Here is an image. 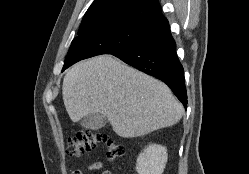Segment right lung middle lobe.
<instances>
[{
	"label": "right lung middle lobe",
	"instance_id": "dd1d6c3e",
	"mask_svg": "<svg viewBox=\"0 0 249 174\" xmlns=\"http://www.w3.org/2000/svg\"><path fill=\"white\" fill-rule=\"evenodd\" d=\"M147 28V25L139 23H118L78 31V35L71 43L62 71L80 60L128 49L143 39Z\"/></svg>",
	"mask_w": 249,
	"mask_h": 174
}]
</instances>
